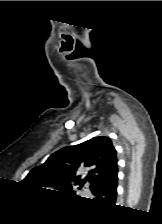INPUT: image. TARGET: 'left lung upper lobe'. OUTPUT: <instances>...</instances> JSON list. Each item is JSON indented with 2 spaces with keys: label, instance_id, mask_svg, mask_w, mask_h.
<instances>
[{
  "label": "left lung upper lobe",
  "instance_id": "left-lung-upper-lobe-1",
  "mask_svg": "<svg viewBox=\"0 0 162 224\" xmlns=\"http://www.w3.org/2000/svg\"><path fill=\"white\" fill-rule=\"evenodd\" d=\"M87 172L81 180L78 172ZM117 171L116 151L108 137H95L75 146L53 153L47 161L32 169L23 183L32 187L55 186L65 195L72 196L73 184L90 182V189L100 187Z\"/></svg>",
  "mask_w": 162,
  "mask_h": 224
}]
</instances>
